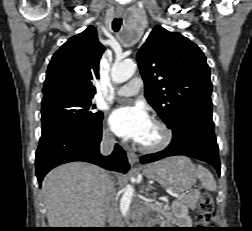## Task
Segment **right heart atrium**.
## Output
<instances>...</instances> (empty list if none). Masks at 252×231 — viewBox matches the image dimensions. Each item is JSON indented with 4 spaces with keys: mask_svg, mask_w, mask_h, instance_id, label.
I'll list each match as a JSON object with an SVG mask.
<instances>
[{
    "mask_svg": "<svg viewBox=\"0 0 252 231\" xmlns=\"http://www.w3.org/2000/svg\"><path fill=\"white\" fill-rule=\"evenodd\" d=\"M103 138H104V140H106L108 142H114V136L112 135V133L110 132L109 129L104 130Z\"/></svg>",
    "mask_w": 252,
    "mask_h": 231,
    "instance_id": "right-heart-atrium-1",
    "label": "right heart atrium"
}]
</instances>
